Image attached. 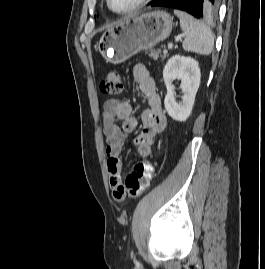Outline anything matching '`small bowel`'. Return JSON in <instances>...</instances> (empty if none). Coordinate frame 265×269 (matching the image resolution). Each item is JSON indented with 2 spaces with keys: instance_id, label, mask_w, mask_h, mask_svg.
<instances>
[{
  "instance_id": "small-bowel-1",
  "label": "small bowel",
  "mask_w": 265,
  "mask_h": 269,
  "mask_svg": "<svg viewBox=\"0 0 265 269\" xmlns=\"http://www.w3.org/2000/svg\"><path fill=\"white\" fill-rule=\"evenodd\" d=\"M133 77L139 90L148 101V106L141 115L143 132L134 141L138 154L146 158L152 153L156 137L166 127V116L161 106L155 81L148 69L142 64L135 65ZM101 120L106 139L109 186L113 196L119 200L118 193L123 189L120 155L125 137L136 129L137 120L132 115L131 104L119 98H110L105 101Z\"/></svg>"
}]
</instances>
